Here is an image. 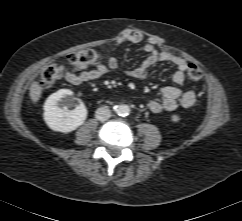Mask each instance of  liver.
Listing matches in <instances>:
<instances>
[{"label":"liver","instance_id":"obj_1","mask_svg":"<svg viewBox=\"0 0 242 221\" xmlns=\"http://www.w3.org/2000/svg\"><path fill=\"white\" fill-rule=\"evenodd\" d=\"M30 92H29V96L30 99L33 103H37L39 101V99L41 98V94H42V87L39 84V82L37 81H33L30 85Z\"/></svg>","mask_w":242,"mask_h":221}]
</instances>
